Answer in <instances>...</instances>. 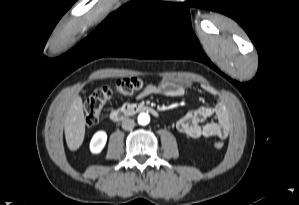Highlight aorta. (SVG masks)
Returning a JSON list of instances; mask_svg holds the SVG:
<instances>
[{
    "instance_id": "obj_1",
    "label": "aorta",
    "mask_w": 299,
    "mask_h": 205,
    "mask_svg": "<svg viewBox=\"0 0 299 205\" xmlns=\"http://www.w3.org/2000/svg\"><path fill=\"white\" fill-rule=\"evenodd\" d=\"M150 122V116L147 113H140L138 115V123L140 125H147Z\"/></svg>"
}]
</instances>
